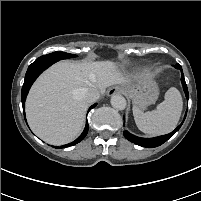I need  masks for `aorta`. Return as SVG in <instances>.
Returning <instances> with one entry per match:
<instances>
[{
    "instance_id": "762f6f07",
    "label": "aorta",
    "mask_w": 201,
    "mask_h": 201,
    "mask_svg": "<svg viewBox=\"0 0 201 201\" xmlns=\"http://www.w3.org/2000/svg\"><path fill=\"white\" fill-rule=\"evenodd\" d=\"M110 103L117 110H123L126 107V99L118 94L111 97Z\"/></svg>"
}]
</instances>
